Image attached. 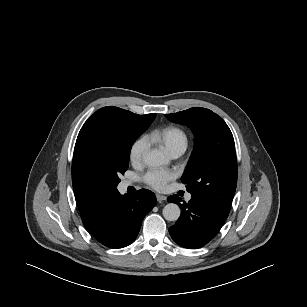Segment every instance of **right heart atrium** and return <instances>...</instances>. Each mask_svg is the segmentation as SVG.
Wrapping results in <instances>:
<instances>
[{
  "instance_id": "right-heart-atrium-1",
  "label": "right heart atrium",
  "mask_w": 307,
  "mask_h": 307,
  "mask_svg": "<svg viewBox=\"0 0 307 307\" xmlns=\"http://www.w3.org/2000/svg\"><path fill=\"white\" fill-rule=\"evenodd\" d=\"M149 142L146 137H140L130 147L129 158L134 164L142 162L148 150Z\"/></svg>"
}]
</instances>
